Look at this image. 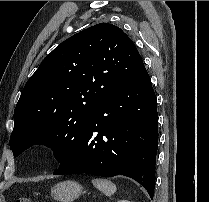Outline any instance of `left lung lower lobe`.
Returning a JSON list of instances; mask_svg holds the SVG:
<instances>
[{
	"label": "left lung lower lobe",
	"mask_w": 209,
	"mask_h": 202,
	"mask_svg": "<svg viewBox=\"0 0 209 202\" xmlns=\"http://www.w3.org/2000/svg\"><path fill=\"white\" fill-rule=\"evenodd\" d=\"M157 144L156 96L144 68L91 111L83 137L53 174L124 175L153 198Z\"/></svg>",
	"instance_id": "left-lung-lower-lobe-1"
}]
</instances>
